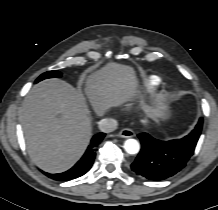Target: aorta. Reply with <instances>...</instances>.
<instances>
[{
  "label": "aorta",
  "mask_w": 218,
  "mask_h": 210,
  "mask_svg": "<svg viewBox=\"0 0 218 210\" xmlns=\"http://www.w3.org/2000/svg\"><path fill=\"white\" fill-rule=\"evenodd\" d=\"M124 149L128 154H137L140 150L139 142L135 139H127L124 142Z\"/></svg>",
  "instance_id": "1"
}]
</instances>
